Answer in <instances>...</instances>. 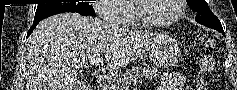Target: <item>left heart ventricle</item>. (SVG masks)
<instances>
[{
    "label": "left heart ventricle",
    "mask_w": 237,
    "mask_h": 90,
    "mask_svg": "<svg viewBox=\"0 0 237 90\" xmlns=\"http://www.w3.org/2000/svg\"><path fill=\"white\" fill-rule=\"evenodd\" d=\"M176 0L140 1L142 15L151 21H170L177 13Z\"/></svg>",
    "instance_id": "b2bd125f"
}]
</instances>
